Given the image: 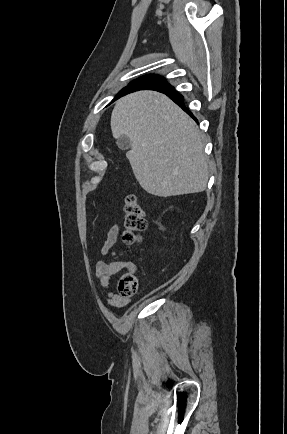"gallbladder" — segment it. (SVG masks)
<instances>
[{"mask_svg": "<svg viewBox=\"0 0 287 434\" xmlns=\"http://www.w3.org/2000/svg\"><path fill=\"white\" fill-rule=\"evenodd\" d=\"M116 144L118 148L121 150H127L131 147V141L126 135H121L117 139Z\"/></svg>", "mask_w": 287, "mask_h": 434, "instance_id": "bac80fb5", "label": "gallbladder"}]
</instances>
